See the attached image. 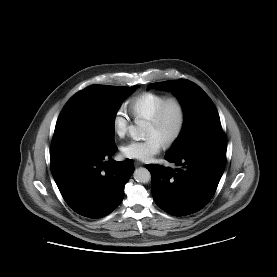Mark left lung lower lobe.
Instances as JSON below:
<instances>
[{
  "label": "left lung lower lobe",
  "mask_w": 277,
  "mask_h": 277,
  "mask_svg": "<svg viewBox=\"0 0 277 277\" xmlns=\"http://www.w3.org/2000/svg\"><path fill=\"white\" fill-rule=\"evenodd\" d=\"M166 160L182 166L147 164L152 176L155 203L173 216H185L202 209L213 197L226 166V136L212 134L197 140L178 156Z\"/></svg>",
  "instance_id": "obj_1"
}]
</instances>
